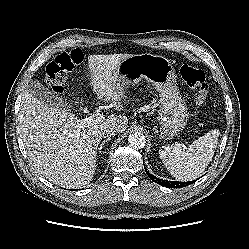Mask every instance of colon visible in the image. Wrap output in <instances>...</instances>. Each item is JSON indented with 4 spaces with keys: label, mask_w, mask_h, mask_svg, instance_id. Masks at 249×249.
I'll return each mask as SVG.
<instances>
[{
    "label": "colon",
    "mask_w": 249,
    "mask_h": 249,
    "mask_svg": "<svg viewBox=\"0 0 249 249\" xmlns=\"http://www.w3.org/2000/svg\"><path fill=\"white\" fill-rule=\"evenodd\" d=\"M83 53L79 49L62 52L51 61L47 68V86L55 94H61L71 72L82 62ZM180 75L184 82L194 91L196 104L204 105L208 98V85L205 73L198 67L182 63Z\"/></svg>",
    "instance_id": "obj_1"
}]
</instances>
